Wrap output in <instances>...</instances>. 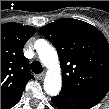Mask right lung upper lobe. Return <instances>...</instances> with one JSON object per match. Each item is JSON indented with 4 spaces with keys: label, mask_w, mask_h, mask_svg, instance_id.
<instances>
[{
    "label": "right lung upper lobe",
    "mask_w": 109,
    "mask_h": 109,
    "mask_svg": "<svg viewBox=\"0 0 109 109\" xmlns=\"http://www.w3.org/2000/svg\"><path fill=\"white\" fill-rule=\"evenodd\" d=\"M34 33L32 26L15 22L1 25V108L21 93L33 78L23 47Z\"/></svg>",
    "instance_id": "cb5924a9"
}]
</instances>
